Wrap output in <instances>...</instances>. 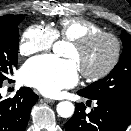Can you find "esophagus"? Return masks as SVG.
I'll list each match as a JSON object with an SVG mask.
<instances>
[{"label": "esophagus", "instance_id": "esophagus-1", "mask_svg": "<svg viewBox=\"0 0 131 131\" xmlns=\"http://www.w3.org/2000/svg\"><path fill=\"white\" fill-rule=\"evenodd\" d=\"M43 101L46 103H53L54 102V100L50 99V98H43Z\"/></svg>", "mask_w": 131, "mask_h": 131}]
</instances>
